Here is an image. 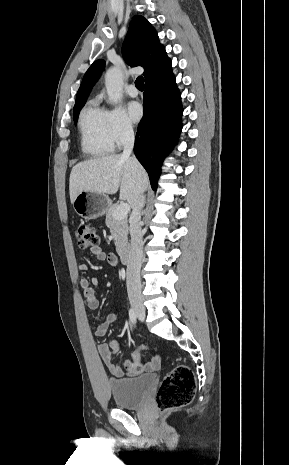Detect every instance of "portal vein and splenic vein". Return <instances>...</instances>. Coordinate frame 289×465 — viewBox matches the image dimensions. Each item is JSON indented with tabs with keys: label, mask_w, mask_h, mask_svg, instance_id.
Masks as SVG:
<instances>
[{
	"label": "portal vein and splenic vein",
	"mask_w": 289,
	"mask_h": 465,
	"mask_svg": "<svg viewBox=\"0 0 289 465\" xmlns=\"http://www.w3.org/2000/svg\"><path fill=\"white\" fill-rule=\"evenodd\" d=\"M130 211V206L127 203H121L118 205L116 210L114 211V217L115 219H122L127 216V214Z\"/></svg>",
	"instance_id": "portal-vein-and-splenic-vein-1"
}]
</instances>
